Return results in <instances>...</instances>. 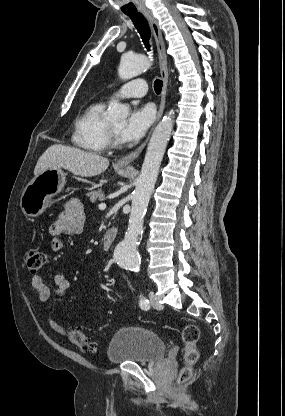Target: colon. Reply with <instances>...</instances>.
Segmentation results:
<instances>
[{"instance_id": "colon-1", "label": "colon", "mask_w": 285, "mask_h": 416, "mask_svg": "<svg viewBox=\"0 0 285 416\" xmlns=\"http://www.w3.org/2000/svg\"><path fill=\"white\" fill-rule=\"evenodd\" d=\"M24 261L28 271L31 274H37L40 272V270L46 263L47 255L39 249L28 248L24 251ZM66 335L69 341L78 349L84 352L95 351L96 343L90 338H88L79 328H70L67 331ZM199 336V329L194 324H187L182 329V338L185 344V358L188 363V366L185 367L180 373L178 379L179 386L185 385L192 376V370L189 367V365L195 362L198 358V351L196 345L199 340ZM180 398L183 400L185 399L182 393L180 395Z\"/></svg>"}]
</instances>
